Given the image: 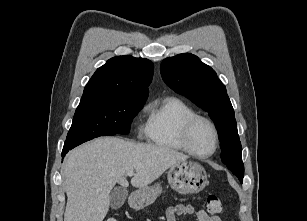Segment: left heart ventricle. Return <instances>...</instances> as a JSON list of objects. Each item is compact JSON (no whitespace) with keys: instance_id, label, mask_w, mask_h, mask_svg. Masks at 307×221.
Instances as JSON below:
<instances>
[{"instance_id":"left-heart-ventricle-1","label":"left heart ventricle","mask_w":307,"mask_h":221,"mask_svg":"<svg viewBox=\"0 0 307 221\" xmlns=\"http://www.w3.org/2000/svg\"><path fill=\"white\" fill-rule=\"evenodd\" d=\"M190 144L200 154L210 153L214 148V134L205 122H198L190 133Z\"/></svg>"}]
</instances>
